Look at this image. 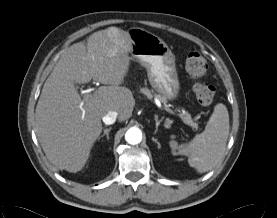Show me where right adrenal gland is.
Here are the masks:
<instances>
[{
  "mask_svg": "<svg viewBox=\"0 0 277 218\" xmlns=\"http://www.w3.org/2000/svg\"><path fill=\"white\" fill-rule=\"evenodd\" d=\"M111 127H109V128H106L105 130H104V133L98 138V140H100L101 138H103L104 136H106V138H107V140H109V132L111 131Z\"/></svg>",
  "mask_w": 277,
  "mask_h": 218,
  "instance_id": "right-adrenal-gland-1",
  "label": "right adrenal gland"
}]
</instances>
